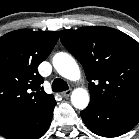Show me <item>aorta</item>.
I'll use <instances>...</instances> for the list:
<instances>
[{
	"label": "aorta",
	"mask_w": 139,
	"mask_h": 139,
	"mask_svg": "<svg viewBox=\"0 0 139 139\" xmlns=\"http://www.w3.org/2000/svg\"><path fill=\"white\" fill-rule=\"evenodd\" d=\"M53 66L56 71L70 81H77L80 78V69L76 61L67 53L60 52L53 57ZM89 94L86 89L77 88L71 94L72 105L79 109H85L89 104Z\"/></svg>",
	"instance_id": "1"
}]
</instances>
